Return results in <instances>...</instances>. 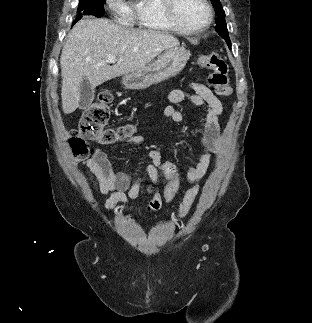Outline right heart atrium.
<instances>
[{"label":"right heart atrium","instance_id":"obj_1","mask_svg":"<svg viewBox=\"0 0 312 323\" xmlns=\"http://www.w3.org/2000/svg\"><path fill=\"white\" fill-rule=\"evenodd\" d=\"M103 5H111L112 13H121V17H137V10H130L126 2L120 0H103Z\"/></svg>","mask_w":312,"mask_h":323}]
</instances>
